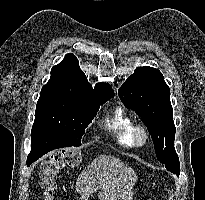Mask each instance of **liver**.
<instances>
[{
    "label": "liver",
    "mask_w": 205,
    "mask_h": 200,
    "mask_svg": "<svg viewBox=\"0 0 205 200\" xmlns=\"http://www.w3.org/2000/svg\"><path fill=\"white\" fill-rule=\"evenodd\" d=\"M137 179L135 171L120 159L101 154L81 172L76 190L82 197L100 190V200H131Z\"/></svg>",
    "instance_id": "6515ba94"
}]
</instances>
